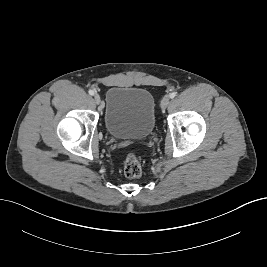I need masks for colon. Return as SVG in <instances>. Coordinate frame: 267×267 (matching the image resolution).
I'll list each match as a JSON object with an SVG mask.
<instances>
[{
	"mask_svg": "<svg viewBox=\"0 0 267 267\" xmlns=\"http://www.w3.org/2000/svg\"><path fill=\"white\" fill-rule=\"evenodd\" d=\"M123 168H124V174L128 178L134 179L142 175L141 162L137 157V155L134 153L127 154L124 160Z\"/></svg>",
	"mask_w": 267,
	"mask_h": 267,
	"instance_id": "colon-1",
	"label": "colon"
}]
</instances>
